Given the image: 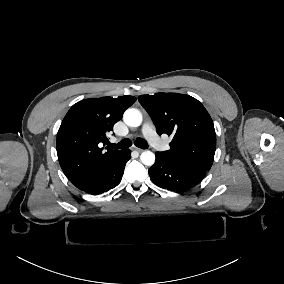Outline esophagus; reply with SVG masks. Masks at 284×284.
<instances>
[{
  "instance_id": "esophagus-1",
  "label": "esophagus",
  "mask_w": 284,
  "mask_h": 284,
  "mask_svg": "<svg viewBox=\"0 0 284 284\" xmlns=\"http://www.w3.org/2000/svg\"><path fill=\"white\" fill-rule=\"evenodd\" d=\"M132 149H133V150H136V151H138V152H142V151H143V149L138 148V147H136V146H132Z\"/></svg>"
}]
</instances>
